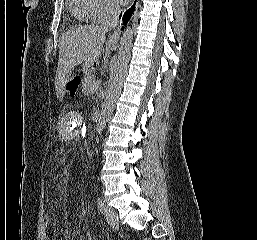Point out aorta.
<instances>
[{
  "instance_id": "1",
  "label": "aorta",
  "mask_w": 257,
  "mask_h": 240,
  "mask_svg": "<svg viewBox=\"0 0 257 240\" xmlns=\"http://www.w3.org/2000/svg\"><path fill=\"white\" fill-rule=\"evenodd\" d=\"M132 43L133 30L130 26H127L120 39L117 61L111 70L106 99L102 105V111L97 121L96 131L99 136L102 134L108 119L113 113L115 104L121 93L131 56Z\"/></svg>"
}]
</instances>
